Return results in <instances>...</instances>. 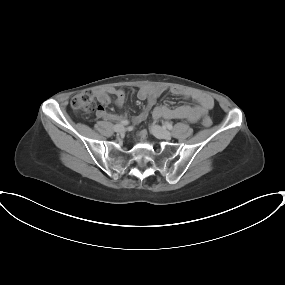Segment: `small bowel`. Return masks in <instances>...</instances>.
I'll return each mask as SVG.
<instances>
[{
    "label": "small bowel",
    "instance_id": "1",
    "mask_svg": "<svg viewBox=\"0 0 285 285\" xmlns=\"http://www.w3.org/2000/svg\"><path fill=\"white\" fill-rule=\"evenodd\" d=\"M163 90L164 89L162 87L151 86H143L137 90L136 97L141 101H147V106L142 112L132 118V122L134 124H140L146 120ZM171 91L175 95L192 98L196 102V105H181L177 107H169L166 105L155 106L152 109V116L155 120L184 119L188 122L194 123L197 122L200 117L206 115L213 108L214 101L212 97L207 94L200 92H190L180 88H173ZM93 92L95 94V97L102 105H108L110 103L111 100L109 94L115 96L114 103L119 108H122L126 100L125 92L117 88H95ZM96 115L99 118L106 120H118L122 117L121 115L117 116L106 112L103 107H100L97 110ZM138 136L140 139H144L146 137V132L141 131Z\"/></svg>",
    "mask_w": 285,
    "mask_h": 285
}]
</instances>
